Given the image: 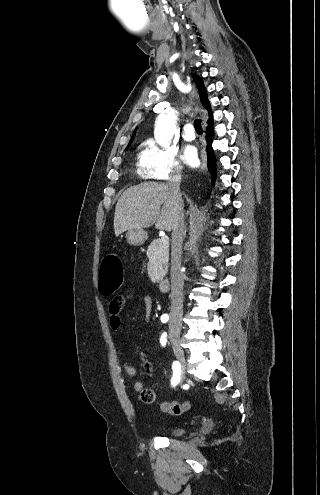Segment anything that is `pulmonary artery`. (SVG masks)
<instances>
[{
  "mask_svg": "<svg viewBox=\"0 0 320 495\" xmlns=\"http://www.w3.org/2000/svg\"><path fill=\"white\" fill-rule=\"evenodd\" d=\"M182 137L187 141H191L195 138L194 128L191 124L188 123L184 125L182 131Z\"/></svg>",
  "mask_w": 320,
  "mask_h": 495,
  "instance_id": "obj_1",
  "label": "pulmonary artery"
}]
</instances>
